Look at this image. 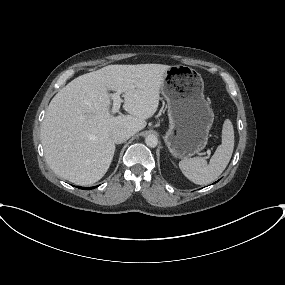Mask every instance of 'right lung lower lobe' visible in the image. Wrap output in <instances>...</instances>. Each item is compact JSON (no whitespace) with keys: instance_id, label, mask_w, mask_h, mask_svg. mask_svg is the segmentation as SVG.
Listing matches in <instances>:
<instances>
[{"instance_id":"obj_1","label":"right lung lower lobe","mask_w":285,"mask_h":285,"mask_svg":"<svg viewBox=\"0 0 285 285\" xmlns=\"http://www.w3.org/2000/svg\"><path fill=\"white\" fill-rule=\"evenodd\" d=\"M78 188L85 189V190H89V189H93V188H95V187H78Z\"/></svg>"}]
</instances>
